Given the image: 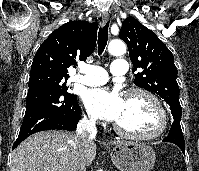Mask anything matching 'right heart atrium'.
<instances>
[{
    "label": "right heart atrium",
    "instance_id": "d8ad5b80",
    "mask_svg": "<svg viewBox=\"0 0 199 171\" xmlns=\"http://www.w3.org/2000/svg\"><path fill=\"white\" fill-rule=\"evenodd\" d=\"M87 121L94 124L96 122V118L93 115H88L86 117Z\"/></svg>",
    "mask_w": 199,
    "mask_h": 171
}]
</instances>
